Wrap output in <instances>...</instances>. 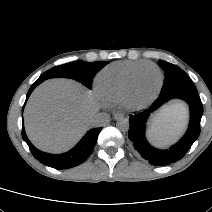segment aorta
<instances>
[{
  "label": "aorta",
  "instance_id": "1",
  "mask_svg": "<svg viewBox=\"0 0 212 212\" xmlns=\"http://www.w3.org/2000/svg\"><path fill=\"white\" fill-rule=\"evenodd\" d=\"M116 126L120 131L126 132L129 130L130 123H129L128 119L121 118L117 121Z\"/></svg>",
  "mask_w": 212,
  "mask_h": 212
}]
</instances>
